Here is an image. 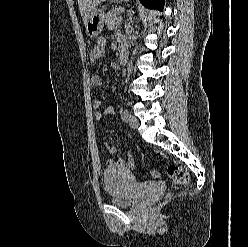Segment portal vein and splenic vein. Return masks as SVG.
<instances>
[{"instance_id": "18ae733b", "label": "portal vein and splenic vein", "mask_w": 248, "mask_h": 247, "mask_svg": "<svg viewBox=\"0 0 248 247\" xmlns=\"http://www.w3.org/2000/svg\"><path fill=\"white\" fill-rule=\"evenodd\" d=\"M124 11V9L123 8H121V9H119V12L121 13V12H123Z\"/></svg>"}]
</instances>
